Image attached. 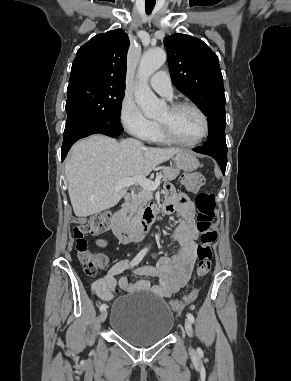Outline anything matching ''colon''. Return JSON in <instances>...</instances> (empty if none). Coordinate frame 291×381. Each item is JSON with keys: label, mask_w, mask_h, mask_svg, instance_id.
I'll return each instance as SVG.
<instances>
[{"label": "colon", "mask_w": 291, "mask_h": 381, "mask_svg": "<svg viewBox=\"0 0 291 381\" xmlns=\"http://www.w3.org/2000/svg\"><path fill=\"white\" fill-rule=\"evenodd\" d=\"M182 182L189 191H197L204 185V178L197 173H187L182 176ZM198 210L197 231L200 235V244L197 247L198 264L196 273L199 277L209 274L212 267L213 245L217 240V230L214 227L215 219V196L212 192H200L195 199ZM110 215L107 212L97 213L90 216L86 221L77 224L73 228V236L76 242V251L85 273L95 276L102 269L107 259L101 254L92 253L88 249L87 237L97 235L106 230ZM116 293H120L122 288L116 287ZM197 296V291L193 290L183 299H174L170 306L174 312H181L186 305L192 302Z\"/></svg>", "instance_id": "5ec220e1"}]
</instances>
